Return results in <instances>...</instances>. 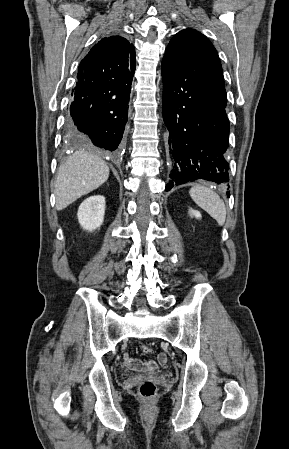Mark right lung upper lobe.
Segmentation results:
<instances>
[{
  "label": "right lung upper lobe",
  "instance_id": "cb5924a9",
  "mask_svg": "<svg viewBox=\"0 0 289 449\" xmlns=\"http://www.w3.org/2000/svg\"><path fill=\"white\" fill-rule=\"evenodd\" d=\"M136 66L134 46L123 37L110 36L99 41L78 67L77 78L100 80L113 78Z\"/></svg>",
  "mask_w": 289,
  "mask_h": 449
}]
</instances>
